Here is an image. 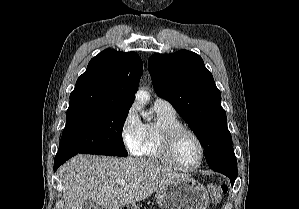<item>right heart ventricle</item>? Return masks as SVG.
<instances>
[{
    "mask_svg": "<svg viewBox=\"0 0 299 209\" xmlns=\"http://www.w3.org/2000/svg\"><path fill=\"white\" fill-rule=\"evenodd\" d=\"M156 120L153 123L144 124L142 138L136 155L166 163L162 154V133L173 127L182 126L175 112H167L154 107Z\"/></svg>",
    "mask_w": 299,
    "mask_h": 209,
    "instance_id": "1",
    "label": "right heart ventricle"
}]
</instances>
